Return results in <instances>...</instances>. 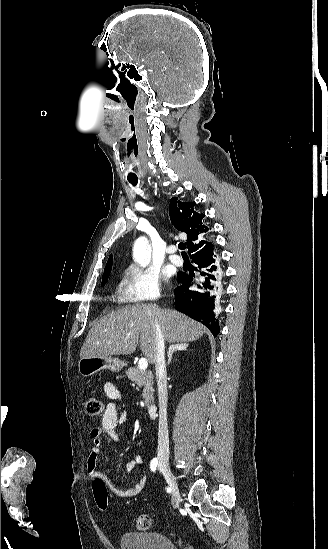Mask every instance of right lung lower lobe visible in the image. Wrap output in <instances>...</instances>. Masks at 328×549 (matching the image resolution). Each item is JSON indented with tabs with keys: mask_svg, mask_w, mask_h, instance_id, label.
<instances>
[{
	"mask_svg": "<svg viewBox=\"0 0 328 549\" xmlns=\"http://www.w3.org/2000/svg\"><path fill=\"white\" fill-rule=\"evenodd\" d=\"M192 262L197 265L194 269L198 278L194 272L178 274L182 285L174 291L176 309L201 322L214 336H217L220 327L213 309L220 277L213 251L193 257Z\"/></svg>",
	"mask_w": 328,
	"mask_h": 549,
	"instance_id": "right-lung-lower-lobe-1",
	"label": "right lung lower lobe"
}]
</instances>
